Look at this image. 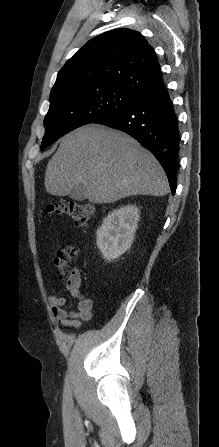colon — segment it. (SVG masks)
Here are the masks:
<instances>
[{"label":"colon","instance_id":"colon-1","mask_svg":"<svg viewBox=\"0 0 219 447\" xmlns=\"http://www.w3.org/2000/svg\"><path fill=\"white\" fill-rule=\"evenodd\" d=\"M49 214L67 215L76 227H86L92 218L93 210L90 206L76 201H58L46 206ZM79 250L74 245H69L65 249L58 251L55 264L58 267L59 276L71 283H76L79 273L76 269H70L67 262L78 256Z\"/></svg>","mask_w":219,"mask_h":447}]
</instances>
